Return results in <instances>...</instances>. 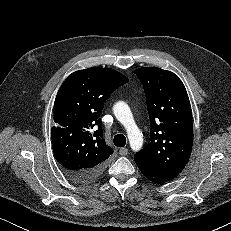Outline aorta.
<instances>
[{"label":"aorta","instance_id":"obj_1","mask_svg":"<svg viewBox=\"0 0 231 231\" xmlns=\"http://www.w3.org/2000/svg\"><path fill=\"white\" fill-rule=\"evenodd\" d=\"M113 113L125 127L132 150L139 151L143 145V135L134 121L129 106L125 102L119 101L114 105Z\"/></svg>","mask_w":231,"mask_h":231}]
</instances>
